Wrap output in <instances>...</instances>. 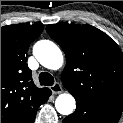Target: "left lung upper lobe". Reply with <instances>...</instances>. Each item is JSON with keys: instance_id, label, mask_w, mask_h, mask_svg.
Masks as SVG:
<instances>
[{"instance_id": "left-lung-upper-lobe-1", "label": "left lung upper lobe", "mask_w": 123, "mask_h": 123, "mask_svg": "<svg viewBox=\"0 0 123 123\" xmlns=\"http://www.w3.org/2000/svg\"><path fill=\"white\" fill-rule=\"evenodd\" d=\"M63 49L62 83L75 99L123 110V53L101 30L88 25H47Z\"/></svg>"}]
</instances>
